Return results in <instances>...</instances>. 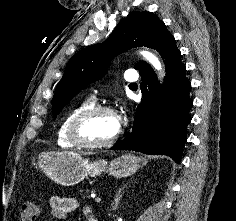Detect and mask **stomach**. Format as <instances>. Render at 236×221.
Here are the masks:
<instances>
[{
	"mask_svg": "<svg viewBox=\"0 0 236 221\" xmlns=\"http://www.w3.org/2000/svg\"><path fill=\"white\" fill-rule=\"evenodd\" d=\"M145 164L144 159L124 154L113 159L110 163L105 160L89 161L74 152L42 153L38 156L36 165L50 179L63 186H73L88 176H98L103 172L116 178L133 175Z\"/></svg>",
	"mask_w": 236,
	"mask_h": 221,
	"instance_id": "1",
	"label": "stomach"
}]
</instances>
